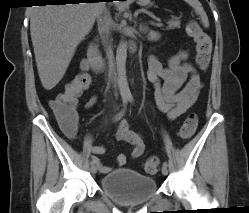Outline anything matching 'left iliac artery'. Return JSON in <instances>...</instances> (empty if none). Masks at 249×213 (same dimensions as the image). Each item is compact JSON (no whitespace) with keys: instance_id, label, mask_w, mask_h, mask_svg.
Segmentation results:
<instances>
[{"instance_id":"1","label":"left iliac artery","mask_w":249,"mask_h":213,"mask_svg":"<svg viewBox=\"0 0 249 213\" xmlns=\"http://www.w3.org/2000/svg\"><path fill=\"white\" fill-rule=\"evenodd\" d=\"M130 101L132 102V101H133V99H132V98H130ZM163 166H166V167H167V166H168V163H167V162H164V163H163Z\"/></svg>"}]
</instances>
